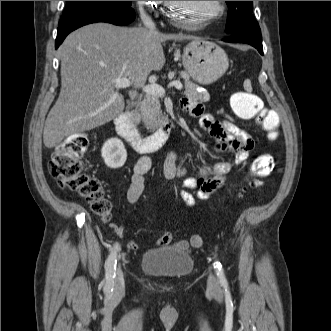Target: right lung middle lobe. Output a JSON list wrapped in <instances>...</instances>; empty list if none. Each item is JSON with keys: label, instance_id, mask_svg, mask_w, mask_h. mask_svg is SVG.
Segmentation results:
<instances>
[{"label": "right lung middle lobe", "instance_id": "right-lung-middle-lobe-1", "mask_svg": "<svg viewBox=\"0 0 331 331\" xmlns=\"http://www.w3.org/2000/svg\"><path fill=\"white\" fill-rule=\"evenodd\" d=\"M131 1H67L59 26L85 15L131 6Z\"/></svg>", "mask_w": 331, "mask_h": 331}]
</instances>
